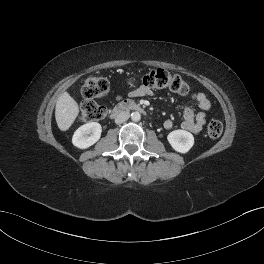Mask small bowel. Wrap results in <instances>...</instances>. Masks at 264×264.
Here are the masks:
<instances>
[{"label": "small bowel", "instance_id": "obj_1", "mask_svg": "<svg viewBox=\"0 0 264 264\" xmlns=\"http://www.w3.org/2000/svg\"><path fill=\"white\" fill-rule=\"evenodd\" d=\"M150 94V90L143 86L137 87L131 90L129 93L131 97H141ZM196 101L199 111L196 113L189 106H185L181 122L182 129L193 134H199L201 132L203 126L206 123L207 113L211 108V103L204 93H198L196 95ZM163 126L165 129L169 130L173 127V122L171 120H166Z\"/></svg>", "mask_w": 264, "mask_h": 264}]
</instances>
